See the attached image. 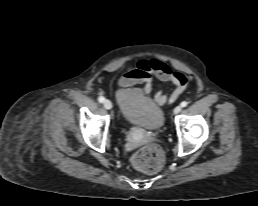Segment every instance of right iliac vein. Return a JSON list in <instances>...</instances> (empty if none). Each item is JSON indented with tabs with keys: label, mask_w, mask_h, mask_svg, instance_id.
<instances>
[{
	"label": "right iliac vein",
	"mask_w": 258,
	"mask_h": 206,
	"mask_svg": "<svg viewBox=\"0 0 258 206\" xmlns=\"http://www.w3.org/2000/svg\"><path fill=\"white\" fill-rule=\"evenodd\" d=\"M103 105L108 110L112 109V103L109 100H105Z\"/></svg>",
	"instance_id": "1"
}]
</instances>
